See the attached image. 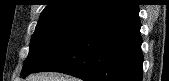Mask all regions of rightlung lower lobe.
Wrapping results in <instances>:
<instances>
[{
  "mask_svg": "<svg viewBox=\"0 0 169 81\" xmlns=\"http://www.w3.org/2000/svg\"><path fill=\"white\" fill-rule=\"evenodd\" d=\"M138 13V5L127 0L86 21L32 73L55 71L84 81H142Z\"/></svg>",
  "mask_w": 169,
  "mask_h": 81,
  "instance_id": "right-lung-lower-lobe-1",
  "label": "right lung lower lobe"
}]
</instances>
